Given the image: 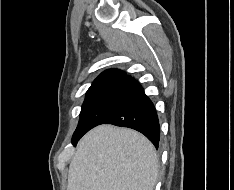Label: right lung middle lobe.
Segmentation results:
<instances>
[{"label": "right lung middle lobe", "instance_id": "obj_1", "mask_svg": "<svg viewBox=\"0 0 234 190\" xmlns=\"http://www.w3.org/2000/svg\"><path fill=\"white\" fill-rule=\"evenodd\" d=\"M126 83L127 80H120L88 89L72 139L82 137L101 123L118 100Z\"/></svg>", "mask_w": 234, "mask_h": 190}]
</instances>
